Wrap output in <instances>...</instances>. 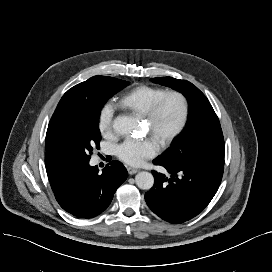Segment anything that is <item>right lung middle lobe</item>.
Masks as SVG:
<instances>
[{"label": "right lung middle lobe", "mask_w": 272, "mask_h": 272, "mask_svg": "<svg viewBox=\"0 0 272 272\" xmlns=\"http://www.w3.org/2000/svg\"><path fill=\"white\" fill-rule=\"evenodd\" d=\"M128 84L127 81L105 77L89 101L60 117L49 133L52 154L62 162L89 161L93 148L99 149L98 120L103 105Z\"/></svg>", "instance_id": "1"}]
</instances>
